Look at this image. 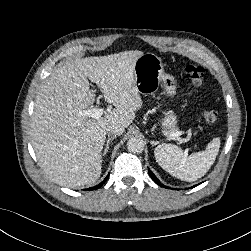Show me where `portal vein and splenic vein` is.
<instances>
[{"mask_svg": "<svg viewBox=\"0 0 251 251\" xmlns=\"http://www.w3.org/2000/svg\"><path fill=\"white\" fill-rule=\"evenodd\" d=\"M104 113H105L104 108H92V109L83 110V111L78 112V114L80 116H86V117H90L93 119H99ZM179 135H180L179 132L173 134L174 137H177Z\"/></svg>", "mask_w": 251, "mask_h": 251, "instance_id": "18ae733b", "label": "portal vein and splenic vein"}]
</instances>
